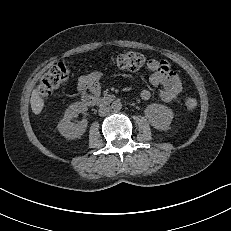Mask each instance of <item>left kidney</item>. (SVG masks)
Listing matches in <instances>:
<instances>
[{
    "label": "left kidney",
    "mask_w": 231,
    "mask_h": 231,
    "mask_svg": "<svg viewBox=\"0 0 231 231\" xmlns=\"http://www.w3.org/2000/svg\"><path fill=\"white\" fill-rule=\"evenodd\" d=\"M144 113L151 126L158 130H167L174 116L170 108L156 103L148 105Z\"/></svg>",
    "instance_id": "1"
}]
</instances>
